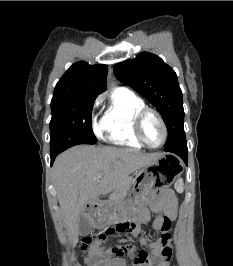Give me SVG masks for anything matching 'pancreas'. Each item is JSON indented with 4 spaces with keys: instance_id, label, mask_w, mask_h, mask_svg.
Segmentation results:
<instances>
[{
    "instance_id": "obj_1",
    "label": "pancreas",
    "mask_w": 233,
    "mask_h": 266,
    "mask_svg": "<svg viewBox=\"0 0 233 266\" xmlns=\"http://www.w3.org/2000/svg\"><path fill=\"white\" fill-rule=\"evenodd\" d=\"M132 184H133L132 179L131 178L127 179L121 187L115 190V192L111 195L110 199L112 201H116L126 197L128 191L132 187Z\"/></svg>"
}]
</instances>
